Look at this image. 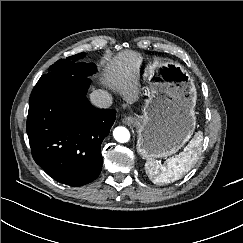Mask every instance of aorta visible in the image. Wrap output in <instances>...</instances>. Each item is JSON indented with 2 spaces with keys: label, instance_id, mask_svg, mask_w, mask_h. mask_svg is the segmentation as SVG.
I'll return each instance as SVG.
<instances>
[{
  "label": "aorta",
  "instance_id": "obj_1",
  "mask_svg": "<svg viewBox=\"0 0 243 243\" xmlns=\"http://www.w3.org/2000/svg\"><path fill=\"white\" fill-rule=\"evenodd\" d=\"M113 136L117 142L126 143L130 140V132L126 127H116L113 131Z\"/></svg>",
  "mask_w": 243,
  "mask_h": 243
}]
</instances>
